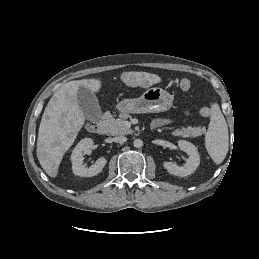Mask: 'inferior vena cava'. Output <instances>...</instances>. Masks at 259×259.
I'll return each mask as SVG.
<instances>
[{
    "label": "inferior vena cava",
    "instance_id": "1",
    "mask_svg": "<svg viewBox=\"0 0 259 259\" xmlns=\"http://www.w3.org/2000/svg\"><path fill=\"white\" fill-rule=\"evenodd\" d=\"M127 141V138L125 136H116L114 137V142L123 144Z\"/></svg>",
    "mask_w": 259,
    "mask_h": 259
}]
</instances>
